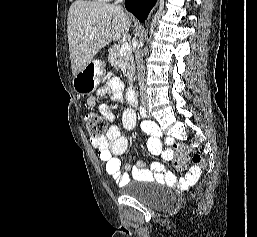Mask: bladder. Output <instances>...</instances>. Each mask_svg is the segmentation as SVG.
<instances>
[{"instance_id": "bladder-1", "label": "bladder", "mask_w": 257, "mask_h": 237, "mask_svg": "<svg viewBox=\"0 0 257 237\" xmlns=\"http://www.w3.org/2000/svg\"><path fill=\"white\" fill-rule=\"evenodd\" d=\"M124 188L125 195L150 206H161L172 199L171 195L166 192H154L138 187L134 184H127Z\"/></svg>"}]
</instances>
